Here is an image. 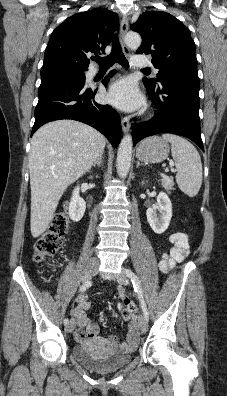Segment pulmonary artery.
I'll return each mask as SVG.
<instances>
[{
	"instance_id": "1",
	"label": "pulmonary artery",
	"mask_w": 227,
	"mask_h": 396,
	"mask_svg": "<svg viewBox=\"0 0 227 396\" xmlns=\"http://www.w3.org/2000/svg\"><path fill=\"white\" fill-rule=\"evenodd\" d=\"M131 64L134 67H145V66H150L151 65L150 61L147 58L143 57V56H133L131 58ZM96 73H97L96 70H93L91 72L92 75H95Z\"/></svg>"
}]
</instances>
